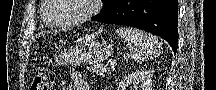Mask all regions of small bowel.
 I'll list each match as a JSON object with an SVG mask.
<instances>
[{
    "label": "small bowel",
    "instance_id": "1",
    "mask_svg": "<svg viewBox=\"0 0 216 90\" xmlns=\"http://www.w3.org/2000/svg\"><path fill=\"white\" fill-rule=\"evenodd\" d=\"M70 80L74 85L75 90H91L89 83L85 80L84 76L78 71L71 72Z\"/></svg>",
    "mask_w": 216,
    "mask_h": 90
}]
</instances>
